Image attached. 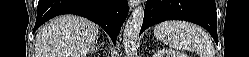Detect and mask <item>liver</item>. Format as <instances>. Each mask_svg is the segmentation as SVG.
<instances>
[{
	"instance_id": "obj_1",
	"label": "liver",
	"mask_w": 249,
	"mask_h": 57,
	"mask_svg": "<svg viewBox=\"0 0 249 57\" xmlns=\"http://www.w3.org/2000/svg\"><path fill=\"white\" fill-rule=\"evenodd\" d=\"M98 26L75 15L59 16L40 28L35 57H86L98 41Z\"/></svg>"
}]
</instances>
